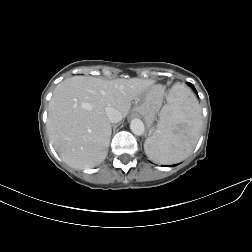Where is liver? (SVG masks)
Returning a JSON list of instances; mask_svg holds the SVG:
<instances>
[{"label":"liver","instance_id":"liver-1","mask_svg":"<svg viewBox=\"0 0 252 252\" xmlns=\"http://www.w3.org/2000/svg\"><path fill=\"white\" fill-rule=\"evenodd\" d=\"M152 86L153 80L110 81L91 76H74L58 84L49 102L46 126L61 159L79 169L102 163L112 133L105 107L115 108L124 118L132 101L137 103L139 96Z\"/></svg>","mask_w":252,"mask_h":252}]
</instances>
